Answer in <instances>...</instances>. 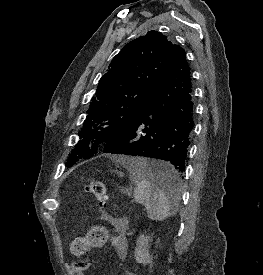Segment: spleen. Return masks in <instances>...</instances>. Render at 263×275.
Wrapping results in <instances>:
<instances>
[{
    "instance_id": "1",
    "label": "spleen",
    "mask_w": 263,
    "mask_h": 275,
    "mask_svg": "<svg viewBox=\"0 0 263 275\" xmlns=\"http://www.w3.org/2000/svg\"><path fill=\"white\" fill-rule=\"evenodd\" d=\"M122 164L127 168L130 177L135 184L134 199L145 206L148 218L155 221H163L175 211V205L179 200V179L171 194V199L167 194L146 176V169L169 170L168 163L160 161H149L145 158H125Z\"/></svg>"
}]
</instances>
